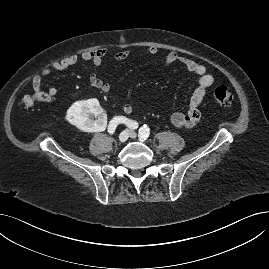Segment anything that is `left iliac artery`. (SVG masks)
<instances>
[{
    "instance_id": "1",
    "label": "left iliac artery",
    "mask_w": 269,
    "mask_h": 269,
    "mask_svg": "<svg viewBox=\"0 0 269 269\" xmlns=\"http://www.w3.org/2000/svg\"><path fill=\"white\" fill-rule=\"evenodd\" d=\"M149 134H150V129L147 127V125H144L139 129V138L142 141L146 140L148 138Z\"/></svg>"
}]
</instances>
